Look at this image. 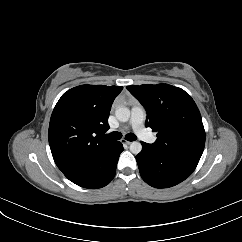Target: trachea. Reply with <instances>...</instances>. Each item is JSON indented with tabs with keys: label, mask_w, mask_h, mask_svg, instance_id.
I'll use <instances>...</instances> for the list:
<instances>
[{
	"label": "trachea",
	"mask_w": 242,
	"mask_h": 242,
	"mask_svg": "<svg viewBox=\"0 0 242 242\" xmlns=\"http://www.w3.org/2000/svg\"><path fill=\"white\" fill-rule=\"evenodd\" d=\"M104 137L112 140H119L122 138V134L120 132H111L108 135H104ZM125 138L128 141H135L137 139L136 135L133 133H128Z\"/></svg>",
	"instance_id": "3493384b"
}]
</instances>
